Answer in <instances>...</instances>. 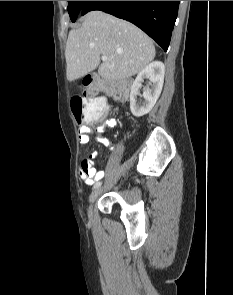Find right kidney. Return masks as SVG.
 I'll use <instances>...</instances> for the list:
<instances>
[{
  "mask_svg": "<svg viewBox=\"0 0 233 295\" xmlns=\"http://www.w3.org/2000/svg\"><path fill=\"white\" fill-rule=\"evenodd\" d=\"M165 66L160 61L148 64L139 74L132 84L130 92V109L134 116L141 117L151 111L162 91L164 83ZM144 79H149L150 86L143 92L144 101L137 102L139 89L142 87Z\"/></svg>",
  "mask_w": 233,
  "mask_h": 295,
  "instance_id": "obj_1",
  "label": "right kidney"
}]
</instances>
